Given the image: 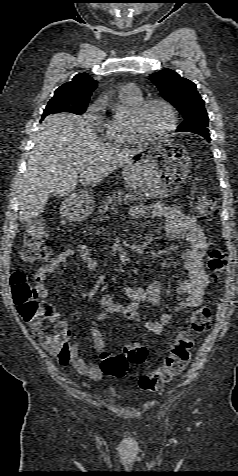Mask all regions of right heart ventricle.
Instances as JSON below:
<instances>
[{
  "label": "right heart ventricle",
  "mask_w": 238,
  "mask_h": 476,
  "mask_svg": "<svg viewBox=\"0 0 238 476\" xmlns=\"http://www.w3.org/2000/svg\"><path fill=\"white\" fill-rule=\"evenodd\" d=\"M142 100L139 92H119L117 107L112 115L102 122V132L111 143L122 146L137 142L129 127V116Z\"/></svg>",
  "instance_id": "e07e8e85"
}]
</instances>
